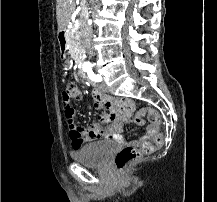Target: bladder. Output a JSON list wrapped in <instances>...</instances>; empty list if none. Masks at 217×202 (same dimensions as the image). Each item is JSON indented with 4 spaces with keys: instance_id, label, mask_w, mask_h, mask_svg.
Instances as JSON below:
<instances>
[{
    "instance_id": "31cf9c89",
    "label": "bladder",
    "mask_w": 217,
    "mask_h": 202,
    "mask_svg": "<svg viewBox=\"0 0 217 202\" xmlns=\"http://www.w3.org/2000/svg\"><path fill=\"white\" fill-rule=\"evenodd\" d=\"M116 145L113 141H101L83 146L72 153V158L83 166H100L110 157Z\"/></svg>"
}]
</instances>
